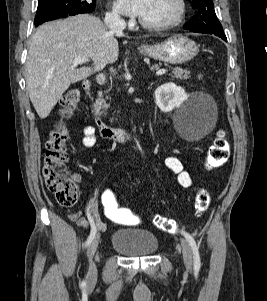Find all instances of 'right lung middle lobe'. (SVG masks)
Listing matches in <instances>:
<instances>
[{
	"label": "right lung middle lobe",
	"instance_id": "dd1d6c3e",
	"mask_svg": "<svg viewBox=\"0 0 267 301\" xmlns=\"http://www.w3.org/2000/svg\"><path fill=\"white\" fill-rule=\"evenodd\" d=\"M95 7V0H38L34 23L55 15L90 13Z\"/></svg>",
	"mask_w": 267,
	"mask_h": 301
}]
</instances>
